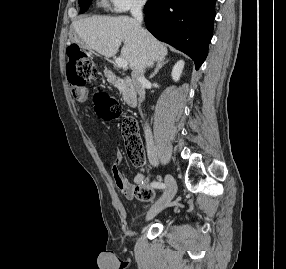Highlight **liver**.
Instances as JSON below:
<instances>
[{"label":"liver","mask_w":286,"mask_h":269,"mask_svg":"<svg viewBox=\"0 0 286 269\" xmlns=\"http://www.w3.org/2000/svg\"><path fill=\"white\" fill-rule=\"evenodd\" d=\"M72 26L90 49L104 57L115 56L123 42L121 58L134 73L143 72L168 53L166 46L130 17L93 16L74 21Z\"/></svg>","instance_id":"liver-1"}]
</instances>
